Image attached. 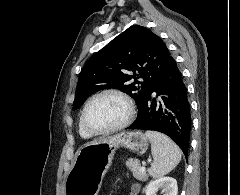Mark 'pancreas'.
Returning a JSON list of instances; mask_svg holds the SVG:
<instances>
[{
	"instance_id": "pancreas-1",
	"label": "pancreas",
	"mask_w": 240,
	"mask_h": 195,
	"mask_svg": "<svg viewBox=\"0 0 240 195\" xmlns=\"http://www.w3.org/2000/svg\"><path fill=\"white\" fill-rule=\"evenodd\" d=\"M125 163L127 167L131 169L136 179H140V181H146V179H148L149 177L148 173H146V171H141L140 169L139 159H133V157H129V159H127Z\"/></svg>"
}]
</instances>
